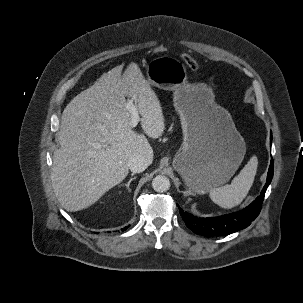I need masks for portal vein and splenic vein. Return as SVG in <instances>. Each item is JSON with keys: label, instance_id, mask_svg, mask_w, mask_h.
Returning a JSON list of instances; mask_svg holds the SVG:
<instances>
[{"label": "portal vein and splenic vein", "instance_id": "1", "mask_svg": "<svg viewBox=\"0 0 303 303\" xmlns=\"http://www.w3.org/2000/svg\"><path fill=\"white\" fill-rule=\"evenodd\" d=\"M126 109L131 114L130 127L134 128L137 126V124L141 120V118L139 117V113H138L136 106L133 104V100H130L126 103Z\"/></svg>", "mask_w": 303, "mask_h": 303}]
</instances>
